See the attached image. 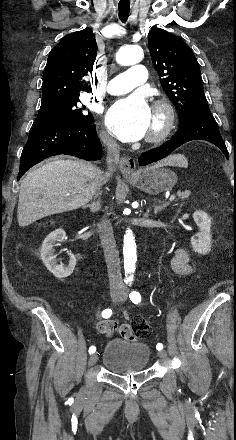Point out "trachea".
<instances>
[{"label":"trachea","instance_id":"trachea-1","mask_svg":"<svg viewBox=\"0 0 236 440\" xmlns=\"http://www.w3.org/2000/svg\"><path fill=\"white\" fill-rule=\"evenodd\" d=\"M119 17L122 22H126L130 12V3L119 2Z\"/></svg>","mask_w":236,"mask_h":440}]
</instances>
